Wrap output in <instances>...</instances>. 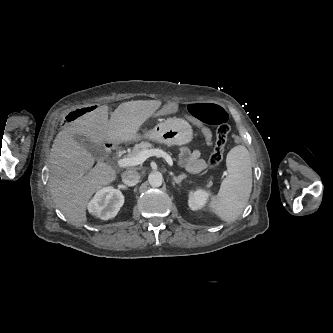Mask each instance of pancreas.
I'll return each mask as SVG.
<instances>
[{
	"label": "pancreas",
	"instance_id": "1",
	"mask_svg": "<svg viewBox=\"0 0 333 333\" xmlns=\"http://www.w3.org/2000/svg\"><path fill=\"white\" fill-rule=\"evenodd\" d=\"M154 146L153 144H151L150 142L147 141H143L140 144H136L132 150V152L128 155L129 157L132 156H136L139 152L143 151V150H149V149H153ZM212 184L211 181L208 182V186H210Z\"/></svg>",
	"mask_w": 333,
	"mask_h": 333
}]
</instances>
